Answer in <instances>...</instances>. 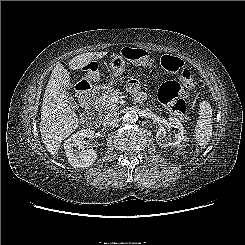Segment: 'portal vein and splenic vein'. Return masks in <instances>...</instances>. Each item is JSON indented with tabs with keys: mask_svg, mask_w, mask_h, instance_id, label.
I'll list each match as a JSON object with an SVG mask.
<instances>
[{
	"mask_svg": "<svg viewBox=\"0 0 245 245\" xmlns=\"http://www.w3.org/2000/svg\"><path fill=\"white\" fill-rule=\"evenodd\" d=\"M111 100H112L113 102H116L117 98H116V97H112Z\"/></svg>",
	"mask_w": 245,
	"mask_h": 245,
	"instance_id": "portal-vein-and-splenic-vein-1",
	"label": "portal vein and splenic vein"
}]
</instances>
